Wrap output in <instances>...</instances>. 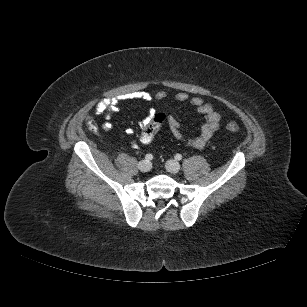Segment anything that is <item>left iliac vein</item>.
<instances>
[{
	"label": "left iliac vein",
	"instance_id": "4c4485c4",
	"mask_svg": "<svg viewBox=\"0 0 307 307\" xmlns=\"http://www.w3.org/2000/svg\"><path fill=\"white\" fill-rule=\"evenodd\" d=\"M166 170L170 173H178L180 171V164L175 160H168L165 164Z\"/></svg>",
	"mask_w": 307,
	"mask_h": 307
}]
</instances>
